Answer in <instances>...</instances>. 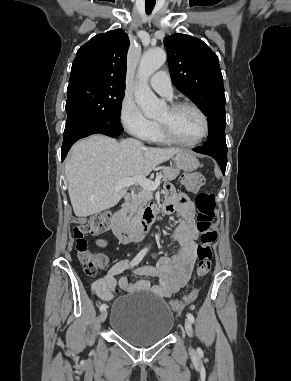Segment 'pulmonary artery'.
Wrapping results in <instances>:
<instances>
[{
	"instance_id": "obj_1",
	"label": "pulmonary artery",
	"mask_w": 291,
	"mask_h": 381,
	"mask_svg": "<svg viewBox=\"0 0 291 381\" xmlns=\"http://www.w3.org/2000/svg\"><path fill=\"white\" fill-rule=\"evenodd\" d=\"M150 84L153 89L162 96L171 98L173 88L169 74L166 71L156 72L150 79Z\"/></svg>"
}]
</instances>
